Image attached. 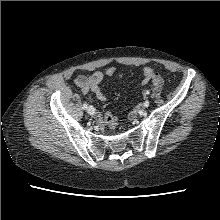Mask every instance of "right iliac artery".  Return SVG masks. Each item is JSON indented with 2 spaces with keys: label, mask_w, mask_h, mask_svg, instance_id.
Returning a JSON list of instances; mask_svg holds the SVG:
<instances>
[{
  "label": "right iliac artery",
  "mask_w": 220,
  "mask_h": 220,
  "mask_svg": "<svg viewBox=\"0 0 220 220\" xmlns=\"http://www.w3.org/2000/svg\"><path fill=\"white\" fill-rule=\"evenodd\" d=\"M83 108H84V109H87V108H88V104H87L86 102L83 104Z\"/></svg>",
  "instance_id": "right-iliac-artery-1"
}]
</instances>
